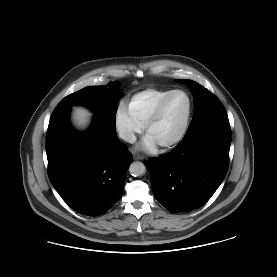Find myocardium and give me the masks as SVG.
I'll return each mask as SVG.
<instances>
[{
	"label": "myocardium",
	"instance_id": "f54148a6",
	"mask_svg": "<svg viewBox=\"0 0 277 277\" xmlns=\"http://www.w3.org/2000/svg\"><path fill=\"white\" fill-rule=\"evenodd\" d=\"M177 93L184 94L188 99L189 106H188L187 116H186L184 125H183L181 131L178 133V135L176 137H174L172 140L159 145L162 149L173 148L174 146L179 144L186 136V134L189 130L190 124H191L193 109H194L193 99H192L191 95L186 90H183V89L172 90L171 92H169L166 96H164L160 100V102L157 104L156 108L154 109V111L152 112V114L147 119V121L144 125L145 132L148 133L150 127L153 124H155L157 122V120L160 118V116L164 110V107L167 104V102L169 101V99Z\"/></svg>",
	"mask_w": 277,
	"mask_h": 277
}]
</instances>
